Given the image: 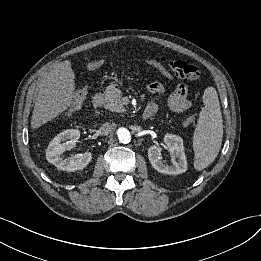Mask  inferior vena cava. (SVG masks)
I'll return each mask as SVG.
<instances>
[{"instance_id": "obj_1", "label": "inferior vena cava", "mask_w": 261, "mask_h": 261, "mask_svg": "<svg viewBox=\"0 0 261 261\" xmlns=\"http://www.w3.org/2000/svg\"><path fill=\"white\" fill-rule=\"evenodd\" d=\"M112 125L109 122L102 124L99 131L101 135H108L112 131Z\"/></svg>"}]
</instances>
